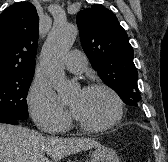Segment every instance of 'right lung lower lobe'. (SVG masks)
<instances>
[{"label":"right lung lower lobe","mask_w":168,"mask_h":162,"mask_svg":"<svg viewBox=\"0 0 168 162\" xmlns=\"http://www.w3.org/2000/svg\"><path fill=\"white\" fill-rule=\"evenodd\" d=\"M18 121H19V120H17V119L6 118V117H0V122H2V123L17 125V124H18Z\"/></svg>","instance_id":"1"}]
</instances>
